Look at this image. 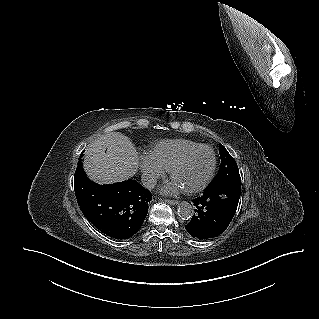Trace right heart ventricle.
Masks as SVG:
<instances>
[{"mask_svg":"<svg viewBox=\"0 0 319 319\" xmlns=\"http://www.w3.org/2000/svg\"><path fill=\"white\" fill-rule=\"evenodd\" d=\"M197 145L199 143L183 138L164 139L155 142L148 154L164 170H169L182 153Z\"/></svg>","mask_w":319,"mask_h":319,"instance_id":"right-heart-ventricle-1","label":"right heart ventricle"}]
</instances>
